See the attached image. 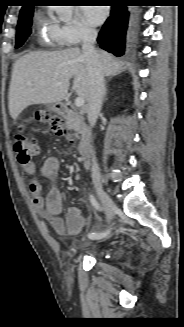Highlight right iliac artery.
Listing matches in <instances>:
<instances>
[{
  "label": "right iliac artery",
  "mask_w": 184,
  "mask_h": 327,
  "mask_svg": "<svg viewBox=\"0 0 184 327\" xmlns=\"http://www.w3.org/2000/svg\"><path fill=\"white\" fill-rule=\"evenodd\" d=\"M89 198H90V202H91V204H92V205H93L97 210L101 211L102 208L100 207L99 203L96 201L95 197L91 194V195L89 196ZM109 233H110V229L107 230L106 232H103V233H94V232H92V233H89V234H88V237H89L90 239H101V238H104V237L108 236Z\"/></svg>",
  "instance_id": "right-iliac-artery-1"
}]
</instances>
